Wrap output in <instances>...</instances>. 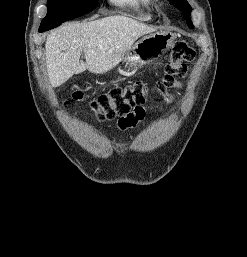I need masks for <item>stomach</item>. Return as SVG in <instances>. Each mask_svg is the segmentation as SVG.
Instances as JSON below:
<instances>
[{
  "mask_svg": "<svg viewBox=\"0 0 247 257\" xmlns=\"http://www.w3.org/2000/svg\"><path fill=\"white\" fill-rule=\"evenodd\" d=\"M174 43V35L170 32H157L143 37L131 47L123 62L128 69L142 66L160 57Z\"/></svg>",
  "mask_w": 247,
  "mask_h": 257,
  "instance_id": "1",
  "label": "stomach"
}]
</instances>
